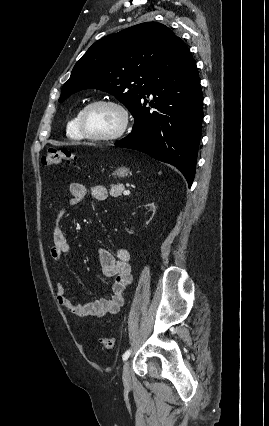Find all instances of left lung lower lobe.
Here are the masks:
<instances>
[{"label": "left lung lower lobe", "instance_id": "obj_1", "mask_svg": "<svg viewBox=\"0 0 269 426\" xmlns=\"http://www.w3.org/2000/svg\"><path fill=\"white\" fill-rule=\"evenodd\" d=\"M150 94L154 97L150 103L153 109L146 107ZM202 107L195 60L178 37L151 74L147 92L130 111L133 131L115 145L176 166L191 187L201 138Z\"/></svg>", "mask_w": 269, "mask_h": 426}]
</instances>
